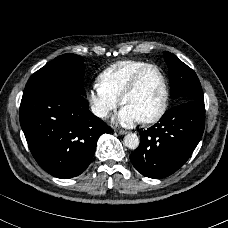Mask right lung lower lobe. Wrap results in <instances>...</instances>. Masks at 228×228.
<instances>
[{"instance_id":"98d812e1","label":"right lung lower lobe","mask_w":228,"mask_h":228,"mask_svg":"<svg viewBox=\"0 0 228 228\" xmlns=\"http://www.w3.org/2000/svg\"><path fill=\"white\" fill-rule=\"evenodd\" d=\"M88 106L83 95L65 85L25 88L20 124L33 157L49 174L62 179L80 175L93 158L98 138L110 131Z\"/></svg>"}]
</instances>
